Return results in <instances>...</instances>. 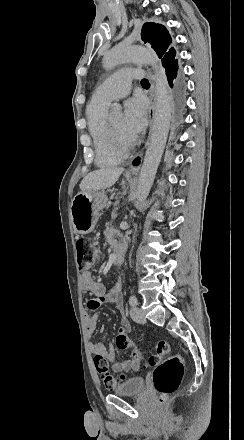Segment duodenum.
I'll use <instances>...</instances> for the list:
<instances>
[{
	"label": "duodenum",
	"mask_w": 244,
	"mask_h": 440,
	"mask_svg": "<svg viewBox=\"0 0 244 440\" xmlns=\"http://www.w3.org/2000/svg\"><path fill=\"white\" fill-rule=\"evenodd\" d=\"M114 247V264L116 267H120L123 263L125 255V248L123 246L122 240H120L118 244Z\"/></svg>",
	"instance_id": "1"
}]
</instances>
